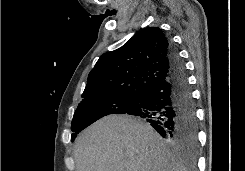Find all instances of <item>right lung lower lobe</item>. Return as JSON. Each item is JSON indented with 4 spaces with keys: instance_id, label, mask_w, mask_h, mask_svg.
<instances>
[{
    "instance_id": "1",
    "label": "right lung lower lobe",
    "mask_w": 245,
    "mask_h": 171,
    "mask_svg": "<svg viewBox=\"0 0 245 171\" xmlns=\"http://www.w3.org/2000/svg\"><path fill=\"white\" fill-rule=\"evenodd\" d=\"M168 59L169 77L147 89L126 114L145 119L168 143L193 156L198 129L195 104L185 66L172 43Z\"/></svg>"
}]
</instances>
